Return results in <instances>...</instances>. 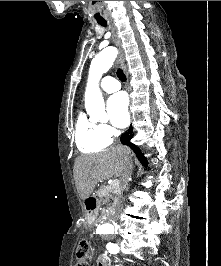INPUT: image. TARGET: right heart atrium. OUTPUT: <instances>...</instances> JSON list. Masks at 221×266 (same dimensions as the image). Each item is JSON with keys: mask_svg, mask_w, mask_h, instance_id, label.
Returning <instances> with one entry per match:
<instances>
[{"mask_svg": "<svg viewBox=\"0 0 221 266\" xmlns=\"http://www.w3.org/2000/svg\"><path fill=\"white\" fill-rule=\"evenodd\" d=\"M101 130L105 137H107L108 139L113 137V135L115 134V130L108 124H101Z\"/></svg>", "mask_w": 221, "mask_h": 266, "instance_id": "1", "label": "right heart atrium"}]
</instances>
